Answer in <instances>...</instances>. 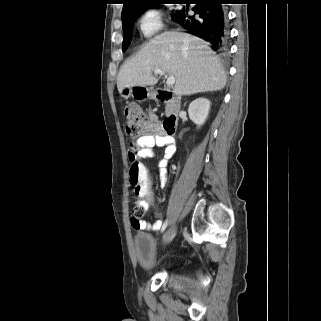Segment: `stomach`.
Here are the masks:
<instances>
[{
    "label": "stomach",
    "instance_id": "0dacf381",
    "mask_svg": "<svg viewBox=\"0 0 321 321\" xmlns=\"http://www.w3.org/2000/svg\"><path fill=\"white\" fill-rule=\"evenodd\" d=\"M121 96L125 99L133 97L139 101L146 100L153 96L150 88L142 86L126 87L122 90Z\"/></svg>",
    "mask_w": 321,
    "mask_h": 321
}]
</instances>
